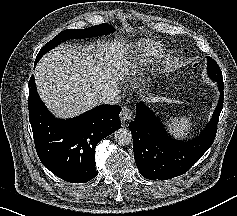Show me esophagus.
<instances>
[{"instance_id": "esophagus-1", "label": "esophagus", "mask_w": 237, "mask_h": 216, "mask_svg": "<svg viewBox=\"0 0 237 216\" xmlns=\"http://www.w3.org/2000/svg\"><path fill=\"white\" fill-rule=\"evenodd\" d=\"M133 112L132 109L128 106H125L122 108V111L120 113V120L122 122H128L132 119Z\"/></svg>"}]
</instances>
